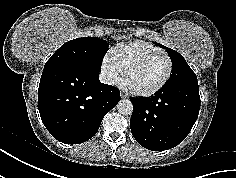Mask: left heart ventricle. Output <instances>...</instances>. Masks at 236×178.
Instances as JSON below:
<instances>
[{
  "instance_id": "1",
  "label": "left heart ventricle",
  "mask_w": 236,
  "mask_h": 178,
  "mask_svg": "<svg viewBox=\"0 0 236 178\" xmlns=\"http://www.w3.org/2000/svg\"><path fill=\"white\" fill-rule=\"evenodd\" d=\"M169 68L165 56H155L134 69L126 78V83L136 90H148L157 86L166 76Z\"/></svg>"
}]
</instances>
